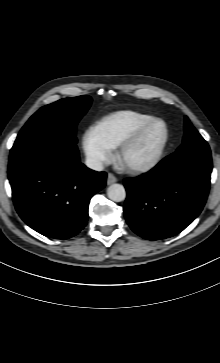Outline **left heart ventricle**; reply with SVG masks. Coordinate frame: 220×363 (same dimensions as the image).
Instances as JSON below:
<instances>
[{"instance_id": "1", "label": "left heart ventricle", "mask_w": 220, "mask_h": 363, "mask_svg": "<svg viewBox=\"0 0 220 363\" xmlns=\"http://www.w3.org/2000/svg\"><path fill=\"white\" fill-rule=\"evenodd\" d=\"M164 135L161 123L152 126L143 137L124 155L125 165L138 164L148 160L157 149Z\"/></svg>"}]
</instances>
